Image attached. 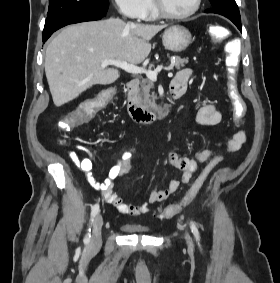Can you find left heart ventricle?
<instances>
[{
  "instance_id": "1",
  "label": "left heart ventricle",
  "mask_w": 280,
  "mask_h": 283,
  "mask_svg": "<svg viewBox=\"0 0 280 283\" xmlns=\"http://www.w3.org/2000/svg\"><path fill=\"white\" fill-rule=\"evenodd\" d=\"M162 7L172 14H183L189 11L195 0H159Z\"/></svg>"
}]
</instances>
